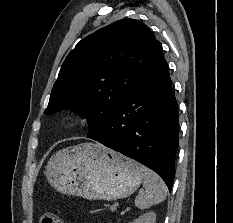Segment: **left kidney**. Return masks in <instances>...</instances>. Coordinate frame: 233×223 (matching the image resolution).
<instances>
[{
  "instance_id": "1",
  "label": "left kidney",
  "mask_w": 233,
  "mask_h": 223,
  "mask_svg": "<svg viewBox=\"0 0 233 223\" xmlns=\"http://www.w3.org/2000/svg\"><path fill=\"white\" fill-rule=\"evenodd\" d=\"M155 221V211H147V213H143V215H140L138 219H135V221H131V223H155Z\"/></svg>"
}]
</instances>
